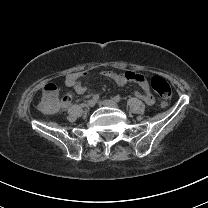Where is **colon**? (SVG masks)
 <instances>
[{"mask_svg": "<svg viewBox=\"0 0 208 208\" xmlns=\"http://www.w3.org/2000/svg\"><path fill=\"white\" fill-rule=\"evenodd\" d=\"M151 86L160 98L159 107L161 109L167 108L172 97V90L167 80L161 76H155L151 79ZM42 94L45 98L39 100V109L46 114H53L58 105V87L55 84H48L43 87Z\"/></svg>", "mask_w": 208, "mask_h": 208, "instance_id": "5ec220e1", "label": "colon"}]
</instances>
